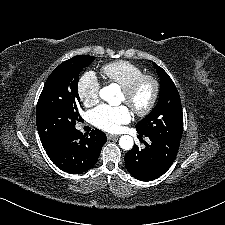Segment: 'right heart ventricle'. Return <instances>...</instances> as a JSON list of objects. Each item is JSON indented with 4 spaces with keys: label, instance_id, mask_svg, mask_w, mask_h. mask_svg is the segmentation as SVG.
<instances>
[{
    "label": "right heart ventricle",
    "instance_id": "1",
    "mask_svg": "<svg viewBox=\"0 0 225 225\" xmlns=\"http://www.w3.org/2000/svg\"><path fill=\"white\" fill-rule=\"evenodd\" d=\"M101 71L110 82L119 85L121 88L144 73L141 67L125 60L107 63L102 66Z\"/></svg>",
    "mask_w": 225,
    "mask_h": 225
}]
</instances>
